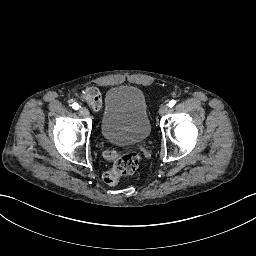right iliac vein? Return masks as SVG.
<instances>
[{
  "label": "right iliac vein",
  "mask_w": 256,
  "mask_h": 256,
  "mask_svg": "<svg viewBox=\"0 0 256 256\" xmlns=\"http://www.w3.org/2000/svg\"><path fill=\"white\" fill-rule=\"evenodd\" d=\"M80 114L83 116V117H89V111L88 109H86L85 107H82L80 109Z\"/></svg>",
  "instance_id": "obj_1"
}]
</instances>
